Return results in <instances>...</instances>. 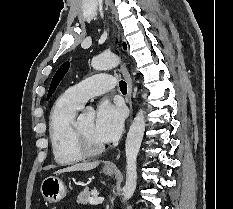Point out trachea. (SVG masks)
<instances>
[{"label":"trachea","mask_w":233,"mask_h":209,"mask_svg":"<svg viewBox=\"0 0 233 209\" xmlns=\"http://www.w3.org/2000/svg\"><path fill=\"white\" fill-rule=\"evenodd\" d=\"M120 90L123 94L127 93V84L125 81L121 80L119 83Z\"/></svg>","instance_id":"3493384b"}]
</instances>
